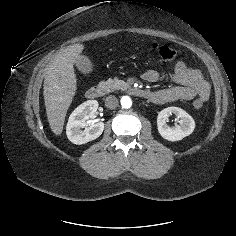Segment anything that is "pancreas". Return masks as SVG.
<instances>
[{
    "label": "pancreas",
    "mask_w": 236,
    "mask_h": 236,
    "mask_svg": "<svg viewBox=\"0 0 236 236\" xmlns=\"http://www.w3.org/2000/svg\"><path fill=\"white\" fill-rule=\"evenodd\" d=\"M102 85L104 86L106 93H110L118 89L125 90L128 87V84L126 82L118 79H108L102 82Z\"/></svg>",
    "instance_id": "1"
}]
</instances>
